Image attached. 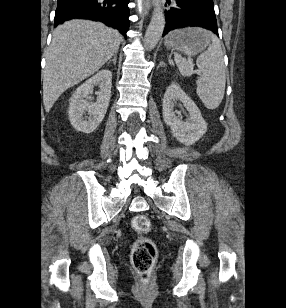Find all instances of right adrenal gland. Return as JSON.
Wrapping results in <instances>:
<instances>
[{
	"label": "right adrenal gland",
	"instance_id": "right-adrenal-gland-1",
	"mask_svg": "<svg viewBox=\"0 0 286 308\" xmlns=\"http://www.w3.org/2000/svg\"><path fill=\"white\" fill-rule=\"evenodd\" d=\"M116 59H117V52L113 55V59H110L107 64H110L113 62L114 65H116Z\"/></svg>",
	"mask_w": 286,
	"mask_h": 308
}]
</instances>
